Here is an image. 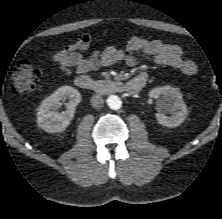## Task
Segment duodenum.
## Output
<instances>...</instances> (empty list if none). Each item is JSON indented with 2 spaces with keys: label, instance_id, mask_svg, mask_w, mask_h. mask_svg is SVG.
<instances>
[{
  "label": "duodenum",
  "instance_id": "410a0bca",
  "mask_svg": "<svg viewBox=\"0 0 222 219\" xmlns=\"http://www.w3.org/2000/svg\"><path fill=\"white\" fill-rule=\"evenodd\" d=\"M75 84L86 91L104 93V92H129L137 93L143 87L137 82H122L118 80L96 81L87 75L76 77Z\"/></svg>",
  "mask_w": 222,
  "mask_h": 219
}]
</instances>
